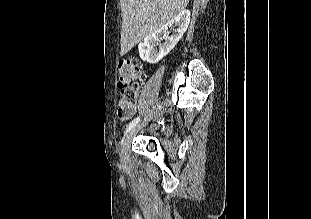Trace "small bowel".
I'll list each match as a JSON object with an SVG mask.
<instances>
[{
	"mask_svg": "<svg viewBox=\"0 0 311 219\" xmlns=\"http://www.w3.org/2000/svg\"><path fill=\"white\" fill-rule=\"evenodd\" d=\"M137 108L136 106H131L126 112H124V108L122 106V102H119L118 106V117L122 120H127L132 117V115L136 112Z\"/></svg>",
	"mask_w": 311,
	"mask_h": 219,
	"instance_id": "1",
	"label": "small bowel"
}]
</instances>
